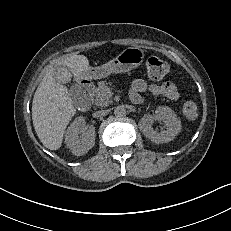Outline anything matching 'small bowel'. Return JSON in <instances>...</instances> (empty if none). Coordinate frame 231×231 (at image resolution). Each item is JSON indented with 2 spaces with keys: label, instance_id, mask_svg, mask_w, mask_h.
<instances>
[{
  "label": "small bowel",
  "instance_id": "small-bowel-1",
  "mask_svg": "<svg viewBox=\"0 0 231 231\" xmlns=\"http://www.w3.org/2000/svg\"><path fill=\"white\" fill-rule=\"evenodd\" d=\"M150 91L154 95H161L169 100H177L179 98V91L177 86L172 82H161L148 84L143 79H135L131 85V96L133 100L140 101V93Z\"/></svg>",
  "mask_w": 231,
  "mask_h": 231
}]
</instances>
